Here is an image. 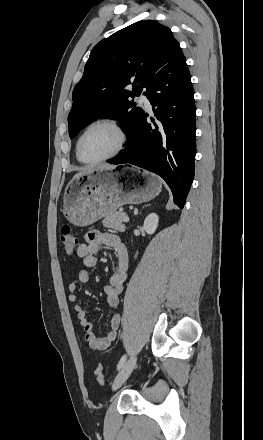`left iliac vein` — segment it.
Here are the masks:
<instances>
[{"mask_svg":"<svg viewBox=\"0 0 263 440\" xmlns=\"http://www.w3.org/2000/svg\"><path fill=\"white\" fill-rule=\"evenodd\" d=\"M137 356L134 354L132 355L121 367L119 373L116 375L113 383H112V389L117 390L120 388L123 383L127 380L131 372L136 366Z\"/></svg>","mask_w":263,"mask_h":440,"instance_id":"left-iliac-vein-1","label":"left iliac vein"}]
</instances>
